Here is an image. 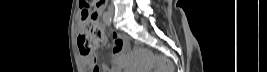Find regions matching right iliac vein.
Wrapping results in <instances>:
<instances>
[{
    "label": "right iliac vein",
    "mask_w": 267,
    "mask_h": 72,
    "mask_svg": "<svg viewBox=\"0 0 267 72\" xmlns=\"http://www.w3.org/2000/svg\"><path fill=\"white\" fill-rule=\"evenodd\" d=\"M110 14H111V16H113V12H111Z\"/></svg>",
    "instance_id": "right-iliac-vein-1"
}]
</instances>
